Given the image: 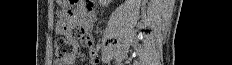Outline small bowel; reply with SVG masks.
<instances>
[{
	"label": "small bowel",
	"instance_id": "obj_1",
	"mask_svg": "<svg viewBox=\"0 0 232 65\" xmlns=\"http://www.w3.org/2000/svg\"><path fill=\"white\" fill-rule=\"evenodd\" d=\"M91 10L90 5L82 6L81 12H59L57 24L58 37H71V38H82V42L87 47L92 48V64L97 62L98 50L94 47L93 39L89 36V29H81V26H77L74 23L76 17L81 19H87V12ZM76 55L73 52L69 56L57 59L55 65H71L74 64Z\"/></svg>",
	"mask_w": 232,
	"mask_h": 65
}]
</instances>
